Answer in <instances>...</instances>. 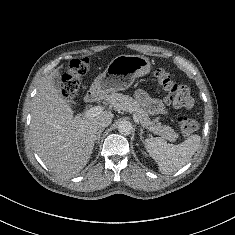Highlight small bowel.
Listing matches in <instances>:
<instances>
[{
	"instance_id": "c3829d8e",
	"label": "small bowel",
	"mask_w": 235,
	"mask_h": 235,
	"mask_svg": "<svg viewBox=\"0 0 235 235\" xmlns=\"http://www.w3.org/2000/svg\"><path fill=\"white\" fill-rule=\"evenodd\" d=\"M136 98L140 104L151 114H165L167 112L164 103L152 98L144 90L136 91Z\"/></svg>"
}]
</instances>
